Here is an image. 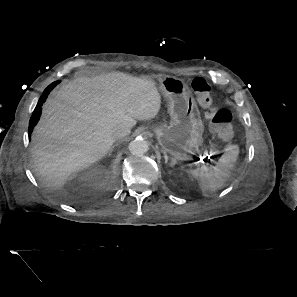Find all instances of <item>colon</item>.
<instances>
[{
  "instance_id": "colon-1",
  "label": "colon",
  "mask_w": 297,
  "mask_h": 297,
  "mask_svg": "<svg viewBox=\"0 0 297 297\" xmlns=\"http://www.w3.org/2000/svg\"><path fill=\"white\" fill-rule=\"evenodd\" d=\"M192 89L197 96L204 115L210 120L213 133L222 140L232 137V114L224 108L213 104L211 87L203 78L197 77L192 81Z\"/></svg>"
}]
</instances>
